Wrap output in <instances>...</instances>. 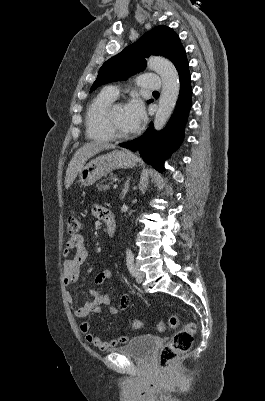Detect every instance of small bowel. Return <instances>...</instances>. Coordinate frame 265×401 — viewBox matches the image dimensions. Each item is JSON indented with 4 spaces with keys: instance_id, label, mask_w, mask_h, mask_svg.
<instances>
[{
    "instance_id": "c3829d8e",
    "label": "small bowel",
    "mask_w": 265,
    "mask_h": 401,
    "mask_svg": "<svg viewBox=\"0 0 265 401\" xmlns=\"http://www.w3.org/2000/svg\"><path fill=\"white\" fill-rule=\"evenodd\" d=\"M105 210V208L95 205L93 206L92 212L96 218L102 219ZM71 254L72 257L69 258ZM63 256L67 258L62 266L63 283L68 287L78 280L80 268L88 257V251L82 235L76 234L68 239L63 249ZM110 277L111 271L108 268H104L98 272L95 277L97 288H93L89 291V298L82 306H75L71 293L67 291V302L71 305L73 314L77 319H85L91 313H99L102 305H110L112 303L115 295L107 287V282ZM129 303V296H122L117 305H112L110 307V313L112 315H118L129 306ZM124 305H126V308H123ZM80 331L84 335L86 342L103 351L110 350L117 345L124 344L128 341V337L124 335H121L116 339L104 341L91 332L90 324L86 321L80 324Z\"/></svg>"
}]
</instances>
